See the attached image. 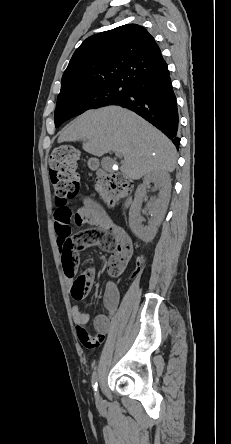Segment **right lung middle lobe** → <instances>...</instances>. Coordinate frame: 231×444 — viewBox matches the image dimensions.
Here are the masks:
<instances>
[{"label": "right lung middle lobe", "instance_id": "1", "mask_svg": "<svg viewBox=\"0 0 231 444\" xmlns=\"http://www.w3.org/2000/svg\"><path fill=\"white\" fill-rule=\"evenodd\" d=\"M129 90L130 85L111 83L60 93L54 115L55 126L59 127L63 122L88 109L99 108L123 100Z\"/></svg>", "mask_w": 231, "mask_h": 444}]
</instances>
